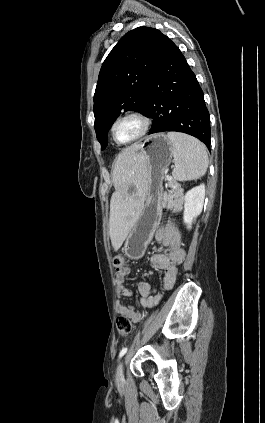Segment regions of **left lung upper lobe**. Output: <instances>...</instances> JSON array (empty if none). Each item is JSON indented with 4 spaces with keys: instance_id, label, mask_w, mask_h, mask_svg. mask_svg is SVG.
<instances>
[{
    "instance_id": "1",
    "label": "left lung upper lobe",
    "mask_w": 265,
    "mask_h": 423,
    "mask_svg": "<svg viewBox=\"0 0 265 423\" xmlns=\"http://www.w3.org/2000/svg\"><path fill=\"white\" fill-rule=\"evenodd\" d=\"M166 36L138 27L129 31L105 59L94 94V128L101 149L122 110L143 113L145 93Z\"/></svg>"
}]
</instances>
